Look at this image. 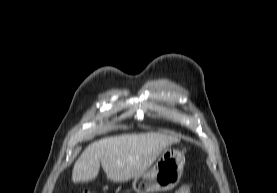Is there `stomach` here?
I'll use <instances>...</instances> for the list:
<instances>
[{"label":"stomach","instance_id":"1","mask_svg":"<svg viewBox=\"0 0 277 193\" xmlns=\"http://www.w3.org/2000/svg\"><path fill=\"white\" fill-rule=\"evenodd\" d=\"M185 156L177 149L166 148L151 170L134 178L137 193H157L173 189L183 173Z\"/></svg>","mask_w":277,"mask_h":193}]
</instances>
